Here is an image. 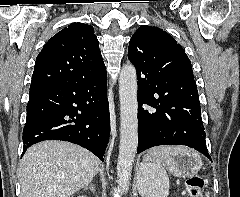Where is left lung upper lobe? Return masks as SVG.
Masks as SVG:
<instances>
[{
    "label": "left lung upper lobe",
    "mask_w": 240,
    "mask_h": 197,
    "mask_svg": "<svg viewBox=\"0 0 240 197\" xmlns=\"http://www.w3.org/2000/svg\"><path fill=\"white\" fill-rule=\"evenodd\" d=\"M128 58L137 72L149 74L156 84L169 87L193 83L194 75L189 58L180 44L158 27L141 26L132 36Z\"/></svg>",
    "instance_id": "1"
}]
</instances>
